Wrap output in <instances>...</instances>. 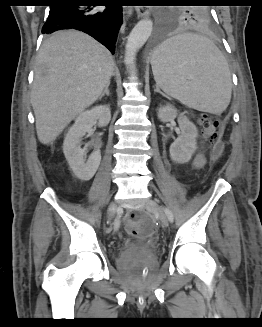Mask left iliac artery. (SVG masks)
Here are the masks:
<instances>
[{"label": "left iliac artery", "mask_w": 262, "mask_h": 327, "mask_svg": "<svg viewBox=\"0 0 262 327\" xmlns=\"http://www.w3.org/2000/svg\"><path fill=\"white\" fill-rule=\"evenodd\" d=\"M163 209H164V212H165L166 216L168 217L169 221L173 222L174 216H173V213L171 212V210L166 207H164Z\"/></svg>", "instance_id": "left-iliac-artery-1"}]
</instances>
